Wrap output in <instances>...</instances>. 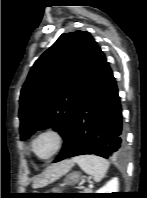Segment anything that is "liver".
Returning <instances> with one entry per match:
<instances>
[{
    "instance_id": "6515ba94",
    "label": "liver",
    "mask_w": 147,
    "mask_h": 198,
    "mask_svg": "<svg viewBox=\"0 0 147 198\" xmlns=\"http://www.w3.org/2000/svg\"><path fill=\"white\" fill-rule=\"evenodd\" d=\"M74 159L64 160L59 163L53 164L46 169V171L36 178L33 182V188L43 187L62 175L66 174L74 165Z\"/></svg>"
}]
</instances>
